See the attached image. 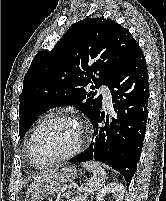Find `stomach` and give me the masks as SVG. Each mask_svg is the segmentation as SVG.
Instances as JSON below:
<instances>
[{
    "mask_svg": "<svg viewBox=\"0 0 166 201\" xmlns=\"http://www.w3.org/2000/svg\"><path fill=\"white\" fill-rule=\"evenodd\" d=\"M76 169L68 168L60 173H55L50 176L38 190L37 193L32 197L31 201H41L43 196L52 195L59 192L64 187V184L71 182L76 177Z\"/></svg>",
    "mask_w": 166,
    "mask_h": 201,
    "instance_id": "stomach-1",
    "label": "stomach"
}]
</instances>
